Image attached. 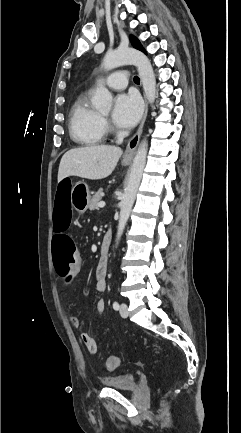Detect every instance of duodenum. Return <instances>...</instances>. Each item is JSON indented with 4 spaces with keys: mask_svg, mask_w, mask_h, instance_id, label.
I'll list each match as a JSON object with an SVG mask.
<instances>
[{
    "mask_svg": "<svg viewBox=\"0 0 241 433\" xmlns=\"http://www.w3.org/2000/svg\"><path fill=\"white\" fill-rule=\"evenodd\" d=\"M112 234L110 231H107L103 237L101 244V257L106 259L109 253V249L111 246Z\"/></svg>",
    "mask_w": 241,
    "mask_h": 433,
    "instance_id": "410a0bca",
    "label": "duodenum"
}]
</instances>
